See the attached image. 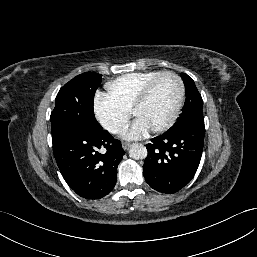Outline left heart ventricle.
<instances>
[{"label": "left heart ventricle", "mask_w": 257, "mask_h": 257, "mask_svg": "<svg viewBox=\"0 0 257 257\" xmlns=\"http://www.w3.org/2000/svg\"><path fill=\"white\" fill-rule=\"evenodd\" d=\"M178 84L173 77H163L154 87L147 102L137 111L150 130L165 123L171 116L178 100Z\"/></svg>", "instance_id": "1"}]
</instances>
